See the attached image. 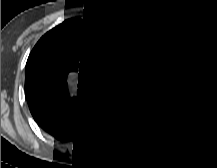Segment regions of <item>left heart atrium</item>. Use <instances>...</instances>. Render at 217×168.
<instances>
[{"label": "left heart atrium", "mask_w": 217, "mask_h": 168, "mask_svg": "<svg viewBox=\"0 0 217 168\" xmlns=\"http://www.w3.org/2000/svg\"><path fill=\"white\" fill-rule=\"evenodd\" d=\"M115 81H116L115 78H110V79L107 80V83H114Z\"/></svg>", "instance_id": "left-heart-atrium-1"}]
</instances>
